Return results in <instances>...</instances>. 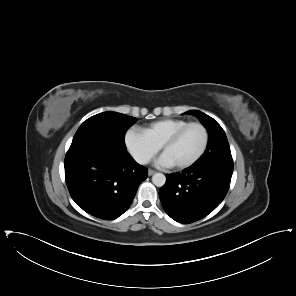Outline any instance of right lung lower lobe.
I'll list each match as a JSON object with an SVG mask.
<instances>
[{
	"mask_svg": "<svg viewBox=\"0 0 296 296\" xmlns=\"http://www.w3.org/2000/svg\"><path fill=\"white\" fill-rule=\"evenodd\" d=\"M65 179L71 197L85 212L113 220L130 206L148 170L127 150L100 143L71 144L65 157Z\"/></svg>",
	"mask_w": 296,
	"mask_h": 296,
	"instance_id": "1",
	"label": "right lung lower lobe"
}]
</instances>
